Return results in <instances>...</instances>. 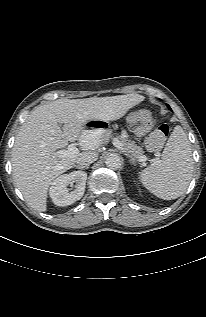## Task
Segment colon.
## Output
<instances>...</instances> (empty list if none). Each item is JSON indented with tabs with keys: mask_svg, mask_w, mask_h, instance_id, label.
<instances>
[{
	"mask_svg": "<svg viewBox=\"0 0 206 317\" xmlns=\"http://www.w3.org/2000/svg\"><path fill=\"white\" fill-rule=\"evenodd\" d=\"M129 121L132 124H139L144 128L153 129L147 138L146 144L149 149H159L169 133V127L167 124H160L155 127V119L151 113L145 109L134 111L129 116Z\"/></svg>",
	"mask_w": 206,
	"mask_h": 317,
	"instance_id": "5ec220e1",
	"label": "colon"
}]
</instances>
